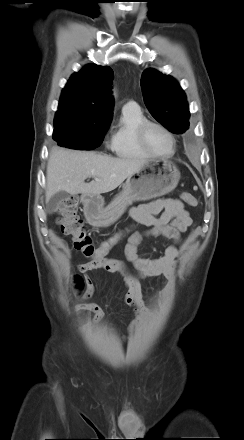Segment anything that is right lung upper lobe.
Returning a JSON list of instances; mask_svg holds the SVG:
<instances>
[{"label": "right lung upper lobe", "mask_w": 244, "mask_h": 440, "mask_svg": "<svg viewBox=\"0 0 244 440\" xmlns=\"http://www.w3.org/2000/svg\"><path fill=\"white\" fill-rule=\"evenodd\" d=\"M113 78L110 67L97 65H87L72 75L62 91L54 122L72 119L110 123Z\"/></svg>", "instance_id": "obj_1"}]
</instances>
